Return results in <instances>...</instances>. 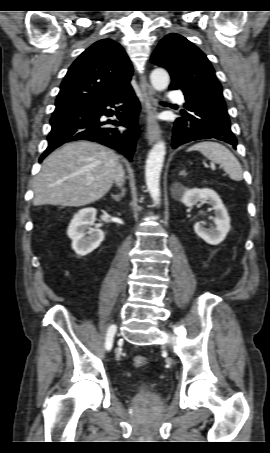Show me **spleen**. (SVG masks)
I'll return each mask as SVG.
<instances>
[{"mask_svg":"<svg viewBox=\"0 0 270 453\" xmlns=\"http://www.w3.org/2000/svg\"><path fill=\"white\" fill-rule=\"evenodd\" d=\"M194 150L220 164L232 180L241 181L243 179L241 164L234 154L222 144L212 141L200 142L188 149V151Z\"/></svg>","mask_w":270,"mask_h":453,"instance_id":"obj_1","label":"spleen"}]
</instances>
